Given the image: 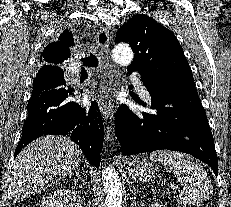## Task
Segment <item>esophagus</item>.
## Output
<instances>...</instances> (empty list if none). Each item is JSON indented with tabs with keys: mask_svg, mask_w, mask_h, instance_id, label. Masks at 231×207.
<instances>
[{
	"mask_svg": "<svg viewBox=\"0 0 231 207\" xmlns=\"http://www.w3.org/2000/svg\"><path fill=\"white\" fill-rule=\"evenodd\" d=\"M96 49L101 58L108 61L109 59V44H110V32L105 26L100 27L96 35ZM103 82L101 86V109L105 121L108 124H112L115 114V106L112 100V95L114 93L112 83H113V73L106 63L102 68ZM111 131L112 127H108Z\"/></svg>",
	"mask_w": 231,
	"mask_h": 207,
	"instance_id": "34e87169",
	"label": "esophagus"
}]
</instances>
